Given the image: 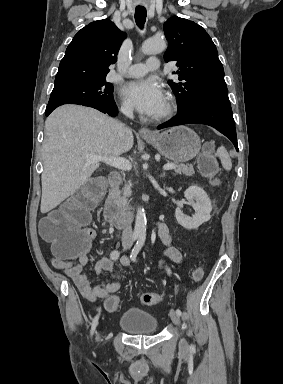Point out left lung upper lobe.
Instances as JSON below:
<instances>
[{"label":"left lung upper lobe","instance_id":"left-lung-upper-lobe-1","mask_svg":"<svg viewBox=\"0 0 283 384\" xmlns=\"http://www.w3.org/2000/svg\"><path fill=\"white\" fill-rule=\"evenodd\" d=\"M168 49L166 62L175 61L179 76L169 80L177 97L178 113L201 103L229 101L224 69L208 33L193 21L177 16L163 25Z\"/></svg>","mask_w":283,"mask_h":384}]
</instances>
